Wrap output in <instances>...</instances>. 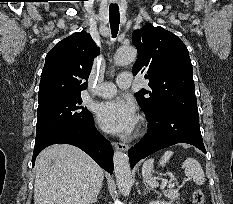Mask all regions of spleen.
Wrapping results in <instances>:
<instances>
[{
    "instance_id": "obj_1",
    "label": "spleen",
    "mask_w": 233,
    "mask_h": 204,
    "mask_svg": "<svg viewBox=\"0 0 233 204\" xmlns=\"http://www.w3.org/2000/svg\"><path fill=\"white\" fill-rule=\"evenodd\" d=\"M173 155V151H165L163 156L159 161V166L164 167L169 159ZM154 159H148L143 163L142 166V176L144 182L148 184L151 188H157L159 183L156 178L152 175L153 172ZM182 169H184L185 174L193 179L197 185H203L205 182L204 171L200 163L191 157H188L182 164Z\"/></svg>"
}]
</instances>
